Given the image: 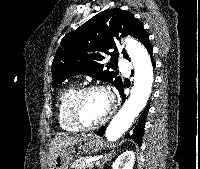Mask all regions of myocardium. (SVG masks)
<instances>
[{
  "mask_svg": "<svg viewBox=\"0 0 200 169\" xmlns=\"http://www.w3.org/2000/svg\"><path fill=\"white\" fill-rule=\"evenodd\" d=\"M92 91H99V92L104 93L107 96V98L109 100V110L106 113V115L99 122H97L93 125H85L82 122L81 117H80V105H81L83 98ZM115 111H116L115 97L108 88H106L102 85H89V86L83 87L82 89H80L77 92V94L73 98L72 104H71L72 119H73L74 123L76 124V126L80 130H83V131H92V130H95V129L103 126L113 116Z\"/></svg>",
  "mask_w": 200,
  "mask_h": 169,
  "instance_id": "myocardium-1",
  "label": "myocardium"
}]
</instances>
